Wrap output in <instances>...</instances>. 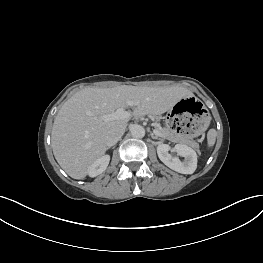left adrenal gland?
Masks as SVG:
<instances>
[{"mask_svg":"<svg viewBox=\"0 0 263 263\" xmlns=\"http://www.w3.org/2000/svg\"><path fill=\"white\" fill-rule=\"evenodd\" d=\"M151 137L153 139H157V140H162L161 138H159L158 136L154 135V133H150Z\"/></svg>","mask_w":263,"mask_h":263,"instance_id":"1","label":"left adrenal gland"}]
</instances>
